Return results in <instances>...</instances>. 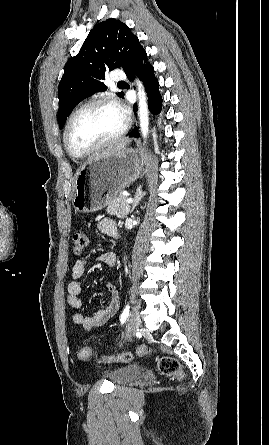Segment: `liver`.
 Masks as SVG:
<instances>
[{
    "instance_id": "1",
    "label": "liver",
    "mask_w": 269,
    "mask_h": 445,
    "mask_svg": "<svg viewBox=\"0 0 269 445\" xmlns=\"http://www.w3.org/2000/svg\"><path fill=\"white\" fill-rule=\"evenodd\" d=\"M130 142V139L125 138L123 140H120L116 142L115 144L109 146L106 150H104L99 156H106V155H113L121 152L123 149H125L126 145ZM95 157V158H97Z\"/></svg>"
}]
</instances>
